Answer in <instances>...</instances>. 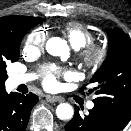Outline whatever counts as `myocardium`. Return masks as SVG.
<instances>
[{"label": "myocardium", "instance_id": "obj_1", "mask_svg": "<svg viewBox=\"0 0 131 131\" xmlns=\"http://www.w3.org/2000/svg\"><path fill=\"white\" fill-rule=\"evenodd\" d=\"M107 56V49L96 43L86 45L79 54L82 64L90 70L100 69L105 64Z\"/></svg>", "mask_w": 131, "mask_h": 131}]
</instances>
